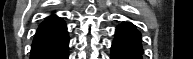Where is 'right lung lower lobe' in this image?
Returning a JSON list of instances; mask_svg holds the SVG:
<instances>
[{
    "instance_id": "right-lung-lower-lobe-1",
    "label": "right lung lower lobe",
    "mask_w": 193,
    "mask_h": 59,
    "mask_svg": "<svg viewBox=\"0 0 193 59\" xmlns=\"http://www.w3.org/2000/svg\"><path fill=\"white\" fill-rule=\"evenodd\" d=\"M69 38L67 31L57 37L35 42L30 59H68Z\"/></svg>"
}]
</instances>
